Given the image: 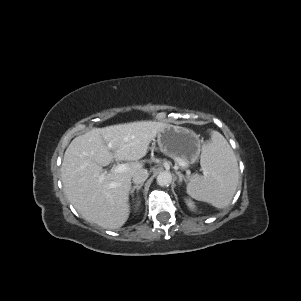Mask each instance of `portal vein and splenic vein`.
Listing matches in <instances>:
<instances>
[{
	"label": "portal vein and splenic vein",
	"instance_id": "obj_1",
	"mask_svg": "<svg viewBox=\"0 0 301 301\" xmlns=\"http://www.w3.org/2000/svg\"><path fill=\"white\" fill-rule=\"evenodd\" d=\"M109 148L112 147L111 144H109L108 146ZM127 164H118L117 166H115L112 171L115 172V173H122V172H125L127 170Z\"/></svg>",
	"mask_w": 301,
	"mask_h": 301
}]
</instances>
